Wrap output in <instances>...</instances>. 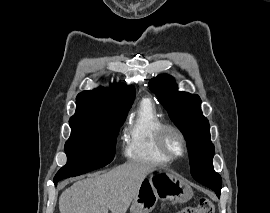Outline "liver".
Returning a JSON list of instances; mask_svg holds the SVG:
<instances>
[{"label": "liver", "mask_w": 270, "mask_h": 213, "mask_svg": "<svg viewBox=\"0 0 270 213\" xmlns=\"http://www.w3.org/2000/svg\"><path fill=\"white\" fill-rule=\"evenodd\" d=\"M155 170V164L129 162L79 180L60 195V213H126L146 176Z\"/></svg>", "instance_id": "1"}]
</instances>
